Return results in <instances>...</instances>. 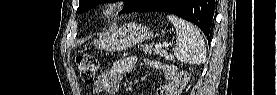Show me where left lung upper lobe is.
<instances>
[{"mask_svg": "<svg viewBox=\"0 0 277 95\" xmlns=\"http://www.w3.org/2000/svg\"><path fill=\"white\" fill-rule=\"evenodd\" d=\"M108 1L115 2L117 0H79V7L77 9V12L82 13L88 11L98 3H104ZM146 1L147 0H125V5L121 13L134 12L138 8H140Z\"/></svg>", "mask_w": 277, "mask_h": 95, "instance_id": "1", "label": "left lung upper lobe"}]
</instances>
